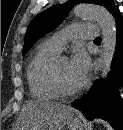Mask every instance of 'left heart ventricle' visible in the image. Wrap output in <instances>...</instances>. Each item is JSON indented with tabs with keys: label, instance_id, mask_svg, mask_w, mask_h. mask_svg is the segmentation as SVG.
<instances>
[{
	"label": "left heart ventricle",
	"instance_id": "obj_1",
	"mask_svg": "<svg viewBox=\"0 0 123 130\" xmlns=\"http://www.w3.org/2000/svg\"><path fill=\"white\" fill-rule=\"evenodd\" d=\"M57 71L62 83L70 89L80 86L71 74L69 62L67 60H60L57 62Z\"/></svg>",
	"mask_w": 123,
	"mask_h": 130
}]
</instances>
